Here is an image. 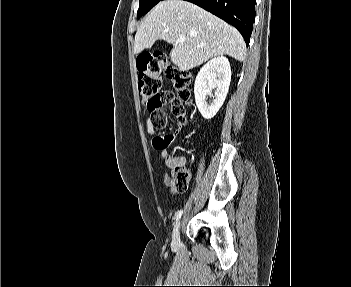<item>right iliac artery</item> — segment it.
<instances>
[{
	"label": "right iliac artery",
	"mask_w": 351,
	"mask_h": 287,
	"mask_svg": "<svg viewBox=\"0 0 351 287\" xmlns=\"http://www.w3.org/2000/svg\"><path fill=\"white\" fill-rule=\"evenodd\" d=\"M183 210H179L175 215V220L178 221L182 216Z\"/></svg>",
	"instance_id": "obj_1"
}]
</instances>
